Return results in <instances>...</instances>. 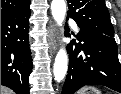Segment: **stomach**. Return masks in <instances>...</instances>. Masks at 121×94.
<instances>
[{
	"mask_svg": "<svg viewBox=\"0 0 121 94\" xmlns=\"http://www.w3.org/2000/svg\"><path fill=\"white\" fill-rule=\"evenodd\" d=\"M78 94H101L99 90L93 87H85Z\"/></svg>",
	"mask_w": 121,
	"mask_h": 94,
	"instance_id": "0dacf381",
	"label": "stomach"
}]
</instances>
